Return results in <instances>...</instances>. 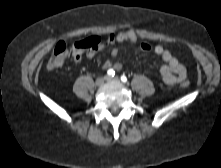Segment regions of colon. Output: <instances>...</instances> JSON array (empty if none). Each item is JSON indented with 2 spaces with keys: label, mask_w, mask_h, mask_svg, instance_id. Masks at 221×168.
Segmentation results:
<instances>
[{
  "label": "colon",
  "mask_w": 221,
  "mask_h": 168,
  "mask_svg": "<svg viewBox=\"0 0 221 168\" xmlns=\"http://www.w3.org/2000/svg\"><path fill=\"white\" fill-rule=\"evenodd\" d=\"M130 44H135L138 41L137 33L134 29L116 30L115 32H109L105 38L106 44H125L126 42ZM100 43V39L97 37H91L88 40L77 42L72 50L71 56L73 59L78 60L81 58L85 50L97 49ZM70 52L66 47V44L59 42L53 49L51 57L47 62V69L54 70L61 67L66 59L69 57ZM182 87H188V82H182Z\"/></svg>",
  "instance_id": "obj_1"
}]
</instances>
